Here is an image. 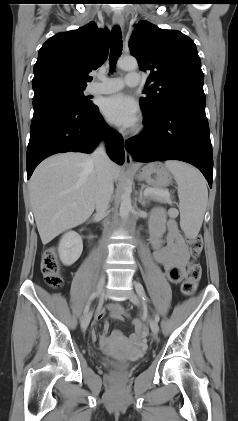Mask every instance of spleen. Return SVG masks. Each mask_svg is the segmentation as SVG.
<instances>
[{
	"label": "spleen",
	"instance_id": "obj_1",
	"mask_svg": "<svg viewBox=\"0 0 238 421\" xmlns=\"http://www.w3.org/2000/svg\"><path fill=\"white\" fill-rule=\"evenodd\" d=\"M165 166L178 184L181 229L188 238H194L200 231L207 207L206 181L196 168L187 163L167 160Z\"/></svg>",
	"mask_w": 238,
	"mask_h": 421
}]
</instances>
